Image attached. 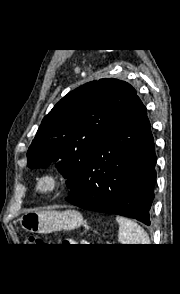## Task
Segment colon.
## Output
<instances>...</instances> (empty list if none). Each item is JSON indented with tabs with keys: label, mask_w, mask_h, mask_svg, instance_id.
<instances>
[{
	"label": "colon",
	"mask_w": 180,
	"mask_h": 294,
	"mask_svg": "<svg viewBox=\"0 0 180 294\" xmlns=\"http://www.w3.org/2000/svg\"><path fill=\"white\" fill-rule=\"evenodd\" d=\"M28 242L31 243V244H39L41 242V240L38 237L34 236V235H30L28 237Z\"/></svg>",
	"instance_id": "obj_1"
}]
</instances>
